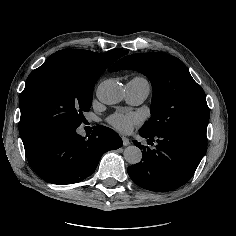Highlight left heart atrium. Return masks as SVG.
Instances as JSON below:
<instances>
[{"label":"left heart atrium","mask_w":236,"mask_h":236,"mask_svg":"<svg viewBox=\"0 0 236 236\" xmlns=\"http://www.w3.org/2000/svg\"><path fill=\"white\" fill-rule=\"evenodd\" d=\"M139 116L135 113H118L109 118V123L122 133H130L133 125L138 123Z\"/></svg>","instance_id":"1"}]
</instances>
